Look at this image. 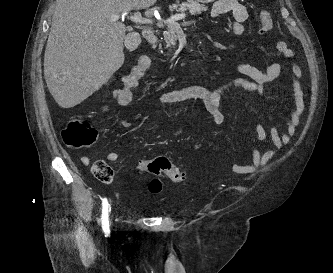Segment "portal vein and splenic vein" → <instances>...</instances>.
<instances>
[{
  "label": "portal vein and splenic vein",
  "instance_id": "1",
  "mask_svg": "<svg viewBox=\"0 0 333 273\" xmlns=\"http://www.w3.org/2000/svg\"><path fill=\"white\" fill-rule=\"evenodd\" d=\"M125 15H126V13L123 14V15H121V16H116V17H114V20H118L120 18L122 20H124ZM127 18L129 20L133 21V22L140 23V24H152L153 23L151 19L142 17V15H141L140 12H137L134 15L127 16ZM183 18H185V14H178V15H175L172 18L168 19V22L178 21V20H181ZM158 25L162 26L163 23L162 22H158Z\"/></svg>",
  "mask_w": 333,
  "mask_h": 273
}]
</instances>
